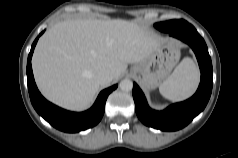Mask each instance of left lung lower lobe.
<instances>
[{
  "label": "left lung lower lobe",
  "instance_id": "0a47b994",
  "mask_svg": "<svg viewBox=\"0 0 238 158\" xmlns=\"http://www.w3.org/2000/svg\"><path fill=\"white\" fill-rule=\"evenodd\" d=\"M167 28L170 36L184 41L193 49L201 71L198 90L190 99L173 104L163 111H155L148 106L136 83L133 86V98L136 114L145 125L162 131H175L188 125L207 105L212 92L213 70L206 43L191 24H171Z\"/></svg>",
  "mask_w": 238,
  "mask_h": 158
}]
</instances>
